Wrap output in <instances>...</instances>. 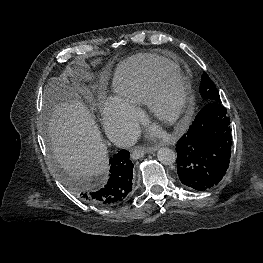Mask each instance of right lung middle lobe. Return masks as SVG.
<instances>
[{
	"mask_svg": "<svg viewBox=\"0 0 263 263\" xmlns=\"http://www.w3.org/2000/svg\"><path fill=\"white\" fill-rule=\"evenodd\" d=\"M70 181V180H68ZM71 183V185L73 186V188L77 191V192H80L81 190H79L80 188V184L78 182H69Z\"/></svg>",
	"mask_w": 263,
	"mask_h": 263,
	"instance_id": "1",
	"label": "right lung middle lobe"
}]
</instances>
